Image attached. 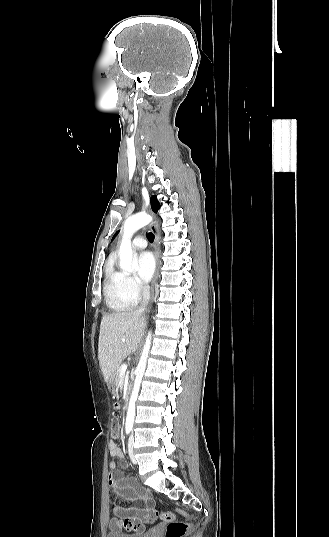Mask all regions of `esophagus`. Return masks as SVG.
<instances>
[{
	"instance_id": "34e87169",
	"label": "esophagus",
	"mask_w": 329,
	"mask_h": 537,
	"mask_svg": "<svg viewBox=\"0 0 329 537\" xmlns=\"http://www.w3.org/2000/svg\"><path fill=\"white\" fill-rule=\"evenodd\" d=\"M150 213L153 215L151 210H150ZM150 229H151V231L153 232V234L155 236L154 253H155V260H156V270H155V274L153 276V280H152V283H151V298L150 299L152 300V298L154 296V287H155V284H156V281H157V276H158V271H159V234H158L155 222H152L150 224Z\"/></svg>"
}]
</instances>
